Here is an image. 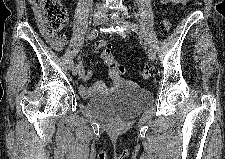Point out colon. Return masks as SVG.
Here are the masks:
<instances>
[{"instance_id":"colon-1","label":"colon","mask_w":225,"mask_h":159,"mask_svg":"<svg viewBox=\"0 0 225 159\" xmlns=\"http://www.w3.org/2000/svg\"><path fill=\"white\" fill-rule=\"evenodd\" d=\"M39 22L42 29L49 35L59 36V32L64 28L68 21L67 9L61 0H40ZM162 28L169 31L171 22L164 18L162 20ZM63 45V40L60 41ZM102 59L109 67V74L115 78H121L125 73V67L118 63L109 48H104L101 52ZM152 72L145 67L140 72V77L143 80L152 78Z\"/></svg>"}]
</instances>
